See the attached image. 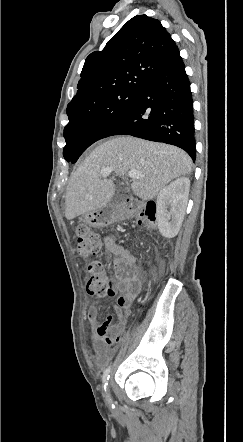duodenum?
<instances>
[{
	"label": "duodenum",
	"mask_w": 243,
	"mask_h": 442,
	"mask_svg": "<svg viewBox=\"0 0 243 442\" xmlns=\"http://www.w3.org/2000/svg\"><path fill=\"white\" fill-rule=\"evenodd\" d=\"M137 204L132 199H125L121 206L120 211L126 215H133L136 212Z\"/></svg>",
	"instance_id": "obj_1"
}]
</instances>
